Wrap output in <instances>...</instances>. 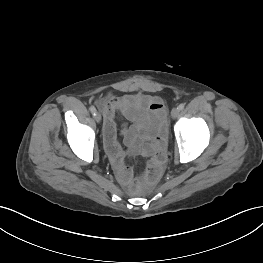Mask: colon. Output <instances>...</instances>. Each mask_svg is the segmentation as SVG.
Segmentation results:
<instances>
[{"label": "colon", "mask_w": 263, "mask_h": 263, "mask_svg": "<svg viewBox=\"0 0 263 263\" xmlns=\"http://www.w3.org/2000/svg\"><path fill=\"white\" fill-rule=\"evenodd\" d=\"M161 168L162 166L159 164L148 165L145 175L137 181L136 188L155 182L160 176Z\"/></svg>", "instance_id": "1"}]
</instances>
